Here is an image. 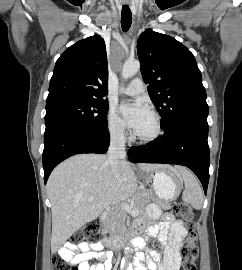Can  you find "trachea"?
Wrapping results in <instances>:
<instances>
[{
  "label": "trachea",
  "instance_id": "obj_1",
  "mask_svg": "<svg viewBox=\"0 0 242 270\" xmlns=\"http://www.w3.org/2000/svg\"><path fill=\"white\" fill-rule=\"evenodd\" d=\"M132 24V14L127 5L122 7L121 12V26L124 32H127Z\"/></svg>",
  "mask_w": 242,
  "mask_h": 270
}]
</instances>
